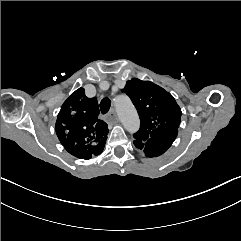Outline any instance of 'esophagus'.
Masks as SVG:
<instances>
[{
	"instance_id": "esophagus-1",
	"label": "esophagus",
	"mask_w": 241,
	"mask_h": 241,
	"mask_svg": "<svg viewBox=\"0 0 241 241\" xmlns=\"http://www.w3.org/2000/svg\"><path fill=\"white\" fill-rule=\"evenodd\" d=\"M107 117H109L111 120H113L114 122H117L119 119H118V116L115 112L114 109H111L109 114L107 115Z\"/></svg>"
}]
</instances>
